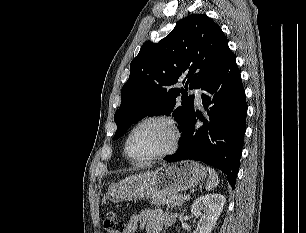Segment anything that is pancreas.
Listing matches in <instances>:
<instances>
[{"label":"pancreas","instance_id":"cf45deb5","mask_svg":"<svg viewBox=\"0 0 306 233\" xmlns=\"http://www.w3.org/2000/svg\"><path fill=\"white\" fill-rule=\"evenodd\" d=\"M182 194L169 197L156 198L151 201L153 205H167L168 208L180 207L184 203Z\"/></svg>","mask_w":306,"mask_h":233}]
</instances>
